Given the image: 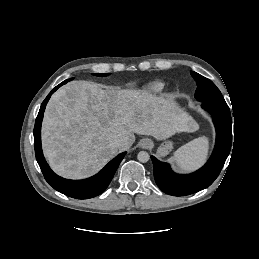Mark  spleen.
Here are the masks:
<instances>
[{
    "instance_id": "1",
    "label": "spleen",
    "mask_w": 259,
    "mask_h": 259,
    "mask_svg": "<svg viewBox=\"0 0 259 259\" xmlns=\"http://www.w3.org/2000/svg\"><path fill=\"white\" fill-rule=\"evenodd\" d=\"M209 140L207 137L196 138L181 146L171 158L183 171H192L200 167L208 156Z\"/></svg>"
}]
</instances>
